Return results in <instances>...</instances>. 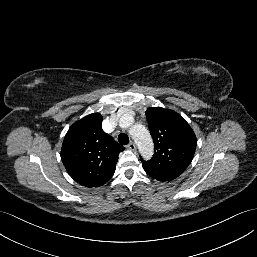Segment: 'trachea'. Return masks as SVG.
Returning <instances> with one entry per match:
<instances>
[{"label":"trachea","instance_id":"trachea-1","mask_svg":"<svg viewBox=\"0 0 257 257\" xmlns=\"http://www.w3.org/2000/svg\"><path fill=\"white\" fill-rule=\"evenodd\" d=\"M118 141L121 145H127L129 143V137L125 133H120L118 136Z\"/></svg>","mask_w":257,"mask_h":257}]
</instances>
